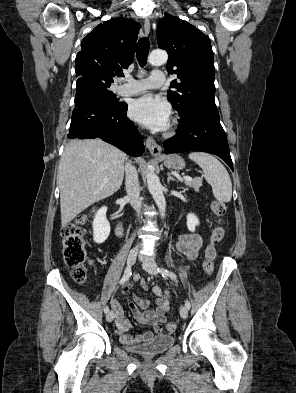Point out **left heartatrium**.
Returning <instances> with one entry per match:
<instances>
[{
    "label": "left heart atrium",
    "instance_id": "1",
    "mask_svg": "<svg viewBox=\"0 0 296 393\" xmlns=\"http://www.w3.org/2000/svg\"><path fill=\"white\" fill-rule=\"evenodd\" d=\"M129 113L148 128L161 131L169 124L170 106L157 96L145 94L132 101Z\"/></svg>",
    "mask_w": 296,
    "mask_h": 393
}]
</instances>
